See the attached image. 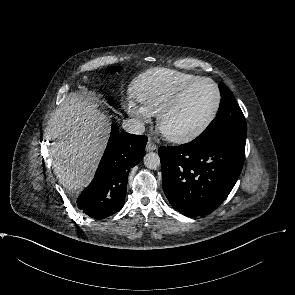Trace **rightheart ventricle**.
Segmentation results:
<instances>
[{"label":"right heart ventricle","instance_id":"1","mask_svg":"<svg viewBox=\"0 0 295 295\" xmlns=\"http://www.w3.org/2000/svg\"><path fill=\"white\" fill-rule=\"evenodd\" d=\"M197 77L176 70L155 68L137 78L135 90L141 104L152 115H157L183 86Z\"/></svg>","mask_w":295,"mask_h":295}]
</instances>
